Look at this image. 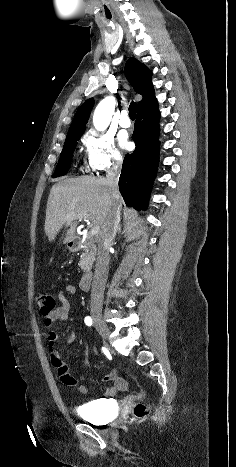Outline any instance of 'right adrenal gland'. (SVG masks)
<instances>
[{
  "label": "right adrenal gland",
  "instance_id": "right-adrenal-gland-1",
  "mask_svg": "<svg viewBox=\"0 0 236 467\" xmlns=\"http://www.w3.org/2000/svg\"><path fill=\"white\" fill-rule=\"evenodd\" d=\"M120 232H121V226L119 225V227H118V233H120Z\"/></svg>",
  "mask_w": 236,
  "mask_h": 467
}]
</instances>
